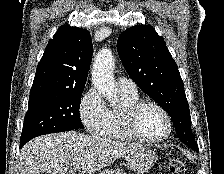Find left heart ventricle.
<instances>
[{"instance_id": "b2bd125f", "label": "left heart ventricle", "mask_w": 224, "mask_h": 174, "mask_svg": "<svg viewBox=\"0 0 224 174\" xmlns=\"http://www.w3.org/2000/svg\"><path fill=\"white\" fill-rule=\"evenodd\" d=\"M138 127L144 136L158 138L166 132L167 122L155 107L146 106L139 113Z\"/></svg>"}]
</instances>
